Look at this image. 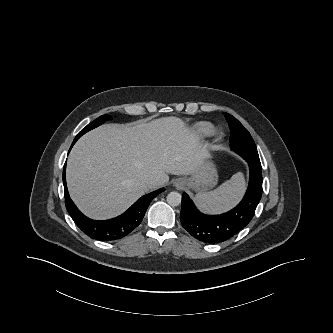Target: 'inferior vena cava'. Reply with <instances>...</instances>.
<instances>
[{"instance_id":"1","label":"inferior vena cava","mask_w":333,"mask_h":333,"mask_svg":"<svg viewBox=\"0 0 333 333\" xmlns=\"http://www.w3.org/2000/svg\"><path fill=\"white\" fill-rule=\"evenodd\" d=\"M147 182L150 185H154L156 183V180H154V179H148Z\"/></svg>"}]
</instances>
